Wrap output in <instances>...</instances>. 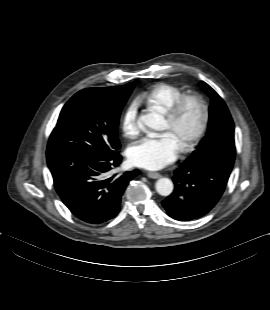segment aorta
Segmentation results:
<instances>
[{"label": "aorta", "mask_w": 270, "mask_h": 310, "mask_svg": "<svg viewBox=\"0 0 270 310\" xmlns=\"http://www.w3.org/2000/svg\"><path fill=\"white\" fill-rule=\"evenodd\" d=\"M140 121L153 130H162L164 118L158 113H147L140 117ZM156 191L162 196H169L173 191V182L168 178H160L156 182Z\"/></svg>", "instance_id": "1"}]
</instances>
